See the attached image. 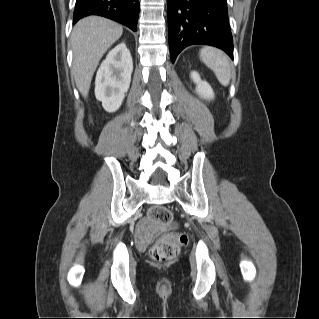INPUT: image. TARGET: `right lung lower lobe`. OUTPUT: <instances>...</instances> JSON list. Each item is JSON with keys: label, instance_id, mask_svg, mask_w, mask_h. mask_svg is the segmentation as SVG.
Wrapping results in <instances>:
<instances>
[{"label": "right lung lower lobe", "instance_id": "98d812e1", "mask_svg": "<svg viewBox=\"0 0 319 319\" xmlns=\"http://www.w3.org/2000/svg\"><path fill=\"white\" fill-rule=\"evenodd\" d=\"M98 15L119 22L133 31L137 30L138 0H76L73 24L79 19Z\"/></svg>", "mask_w": 319, "mask_h": 319}]
</instances>
